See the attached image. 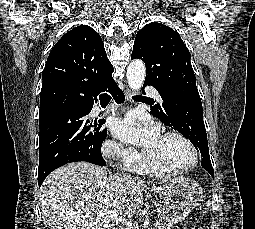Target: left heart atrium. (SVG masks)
I'll return each instance as SVG.
<instances>
[{"instance_id": "left-heart-atrium-1", "label": "left heart atrium", "mask_w": 255, "mask_h": 229, "mask_svg": "<svg viewBox=\"0 0 255 229\" xmlns=\"http://www.w3.org/2000/svg\"><path fill=\"white\" fill-rule=\"evenodd\" d=\"M111 130L116 138L136 145L144 151L151 148L160 136L158 127L152 121L138 117L135 113L114 119Z\"/></svg>"}]
</instances>
